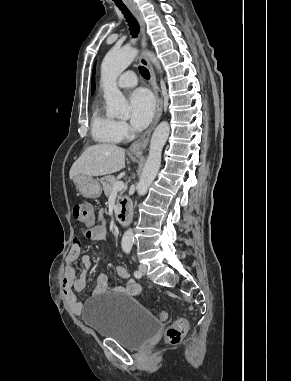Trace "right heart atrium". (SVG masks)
I'll return each instance as SVG.
<instances>
[{"instance_id":"obj_1","label":"right heart atrium","mask_w":291,"mask_h":381,"mask_svg":"<svg viewBox=\"0 0 291 381\" xmlns=\"http://www.w3.org/2000/svg\"><path fill=\"white\" fill-rule=\"evenodd\" d=\"M119 130L123 136H127L130 133V128L126 122L120 121L118 122Z\"/></svg>"}]
</instances>
